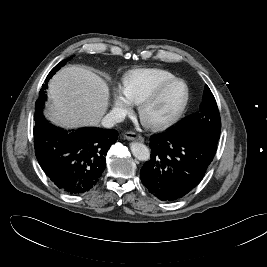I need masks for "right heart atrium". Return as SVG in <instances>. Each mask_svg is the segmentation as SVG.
I'll list each match as a JSON object with an SVG mask.
<instances>
[{
	"mask_svg": "<svg viewBox=\"0 0 267 267\" xmlns=\"http://www.w3.org/2000/svg\"><path fill=\"white\" fill-rule=\"evenodd\" d=\"M131 102L126 97L122 87L114 90V109L119 113H127L131 108Z\"/></svg>",
	"mask_w": 267,
	"mask_h": 267,
	"instance_id": "right-heart-atrium-1",
	"label": "right heart atrium"
}]
</instances>
